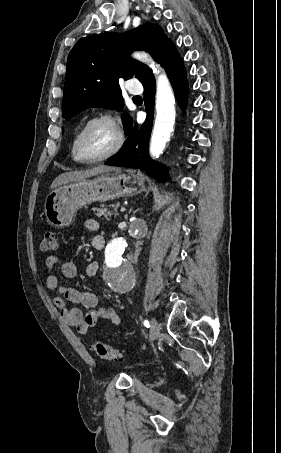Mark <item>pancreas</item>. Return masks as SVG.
Here are the masks:
<instances>
[{
  "label": "pancreas",
  "mask_w": 281,
  "mask_h": 453,
  "mask_svg": "<svg viewBox=\"0 0 281 453\" xmlns=\"http://www.w3.org/2000/svg\"><path fill=\"white\" fill-rule=\"evenodd\" d=\"M110 206H112V204H108V208H104V206H101V208H93V210H95V214H97V216H104V218L110 220L109 216H113V214H118L117 212L118 204L114 206L115 212H113V210H109Z\"/></svg>",
  "instance_id": "pancreas-1"
}]
</instances>
